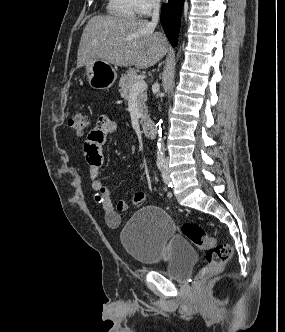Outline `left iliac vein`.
<instances>
[{"label": "left iliac vein", "mask_w": 285, "mask_h": 332, "mask_svg": "<svg viewBox=\"0 0 285 332\" xmlns=\"http://www.w3.org/2000/svg\"><path fill=\"white\" fill-rule=\"evenodd\" d=\"M162 178L165 184L171 183V178L169 176L168 165L167 163L164 164L163 171H162Z\"/></svg>", "instance_id": "1"}]
</instances>
